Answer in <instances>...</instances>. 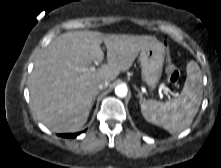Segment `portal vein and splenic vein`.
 <instances>
[{
  "label": "portal vein and splenic vein",
  "mask_w": 221,
  "mask_h": 168,
  "mask_svg": "<svg viewBox=\"0 0 221 168\" xmlns=\"http://www.w3.org/2000/svg\"><path fill=\"white\" fill-rule=\"evenodd\" d=\"M83 71H85L86 69H82ZM90 71H95V67H90L89 68ZM162 92L164 93V95L170 99V94H169V91L167 89H163Z\"/></svg>",
  "instance_id": "portal-vein-and-splenic-vein-1"
}]
</instances>
